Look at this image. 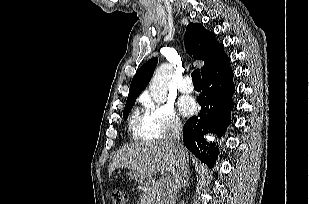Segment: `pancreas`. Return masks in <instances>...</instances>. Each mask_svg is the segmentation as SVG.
<instances>
[{
    "mask_svg": "<svg viewBox=\"0 0 309 204\" xmlns=\"http://www.w3.org/2000/svg\"><path fill=\"white\" fill-rule=\"evenodd\" d=\"M164 183L159 181H151L147 186L144 187L143 193L141 195V201L144 204H162L160 199L164 193Z\"/></svg>",
    "mask_w": 309,
    "mask_h": 204,
    "instance_id": "1",
    "label": "pancreas"
}]
</instances>
